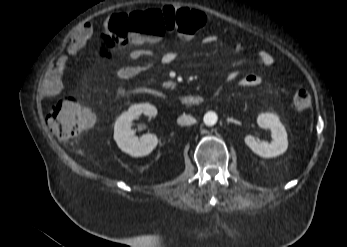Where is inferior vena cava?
<instances>
[{
    "label": "inferior vena cava",
    "mask_w": 347,
    "mask_h": 247,
    "mask_svg": "<svg viewBox=\"0 0 347 247\" xmlns=\"http://www.w3.org/2000/svg\"><path fill=\"white\" fill-rule=\"evenodd\" d=\"M177 123L182 126H188L196 123V120L192 116L183 114L182 116L178 117Z\"/></svg>",
    "instance_id": "inferior-vena-cava-1"
}]
</instances>
